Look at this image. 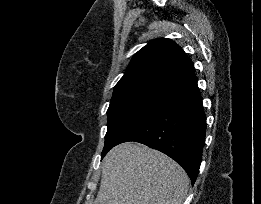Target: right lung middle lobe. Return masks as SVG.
<instances>
[{"instance_id":"obj_1","label":"right lung middle lobe","mask_w":261,"mask_h":204,"mask_svg":"<svg viewBox=\"0 0 261 204\" xmlns=\"http://www.w3.org/2000/svg\"><path fill=\"white\" fill-rule=\"evenodd\" d=\"M167 93L136 91L113 95L107 111L108 129L102 157L120 137L153 110Z\"/></svg>"}]
</instances>
